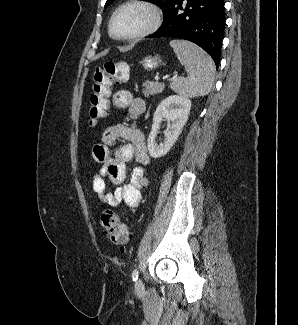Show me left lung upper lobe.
<instances>
[{
	"label": "left lung upper lobe",
	"instance_id": "obj_1",
	"mask_svg": "<svg viewBox=\"0 0 298 325\" xmlns=\"http://www.w3.org/2000/svg\"><path fill=\"white\" fill-rule=\"evenodd\" d=\"M114 0H107L105 7H107L108 5H110ZM155 2H157L158 4H160L164 9H166L169 4L171 3L172 0H153Z\"/></svg>",
	"mask_w": 298,
	"mask_h": 325
}]
</instances>
